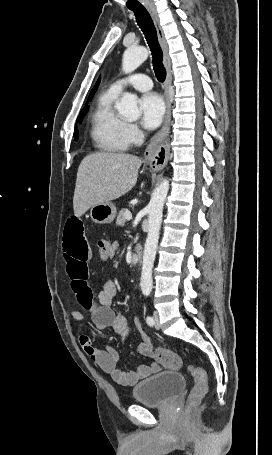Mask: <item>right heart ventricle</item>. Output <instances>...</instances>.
I'll list each match as a JSON object with an SVG mask.
<instances>
[{
    "mask_svg": "<svg viewBox=\"0 0 272 455\" xmlns=\"http://www.w3.org/2000/svg\"><path fill=\"white\" fill-rule=\"evenodd\" d=\"M118 94L110 88L103 91L90 116V136L94 146L103 152L126 151L130 141L126 133L127 123L117 114L114 102Z\"/></svg>",
    "mask_w": 272,
    "mask_h": 455,
    "instance_id": "1",
    "label": "right heart ventricle"
}]
</instances>
